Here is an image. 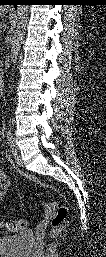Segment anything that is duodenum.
Wrapping results in <instances>:
<instances>
[{
    "label": "duodenum",
    "mask_w": 106,
    "mask_h": 257,
    "mask_svg": "<svg viewBox=\"0 0 106 257\" xmlns=\"http://www.w3.org/2000/svg\"><path fill=\"white\" fill-rule=\"evenodd\" d=\"M2 88H3V84H2V81L0 82V91H2Z\"/></svg>",
    "instance_id": "duodenum-1"
}]
</instances>
